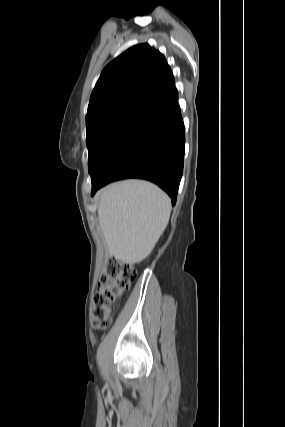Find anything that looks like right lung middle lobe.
<instances>
[{
	"mask_svg": "<svg viewBox=\"0 0 285 427\" xmlns=\"http://www.w3.org/2000/svg\"><path fill=\"white\" fill-rule=\"evenodd\" d=\"M143 111L140 109H123L86 124L88 168L91 179L106 163L113 150Z\"/></svg>",
	"mask_w": 285,
	"mask_h": 427,
	"instance_id": "dd1d6c3e",
	"label": "right lung middle lobe"
}]
</instances>
